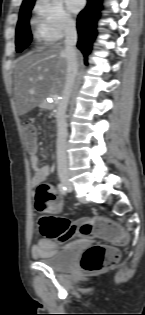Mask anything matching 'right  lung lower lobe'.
I'll use <instances>...</instances> for the list:
<instances>
[{"label":"right lung lower lobe","instance_id":"right-lung-lower-lobe-1","mask_svg":"<svg viewBox=\"0 0 145 315\" xmlns=\"http://www.w3.org/2000/svg\"><path fill=\"white\" fill-rule=\"evenodd\" d=\"M102 0H88L87 6L80 12L77 19L78 43L77 47L84 55L87 64V56L91 52L92 43L97 35V20L100 16Z\"/></svg>","mask_w":145,"mask_h":315}]
</instances>
